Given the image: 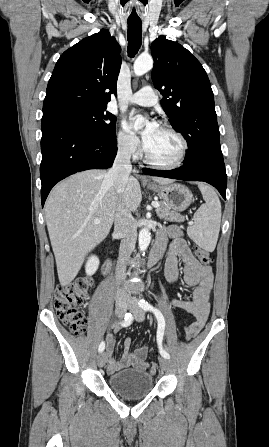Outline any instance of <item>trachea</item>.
I'll return each instance as SVG.
<instances>
[{
    "instance_id": "obj_1",
    "label": "trachea",
    "mask_w": 269,
    "mask_h": 447,
    "mask_svg": "<svg viewBox=\"0 0 269 447\" xmlns=\"http://www.w3.org/2000/svg\"><path fill=\"white\" fill-rule=\"evenodd\" d=\"M128 23V55L134 57L141 46L142 38V23L141 22H127Z\"/></svg>"
}]
</instances>
